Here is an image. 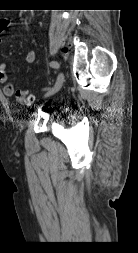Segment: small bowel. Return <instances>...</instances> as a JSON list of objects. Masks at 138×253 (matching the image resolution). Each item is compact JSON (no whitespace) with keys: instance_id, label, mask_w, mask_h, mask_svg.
<instances>
[{"instance_id":"obj_1","label":"small bowel","mask_w":138,"mask_h":253,"mask_svg":"<svg viewBox=\"0 0 138 253\" xmlns=\"http://www.w3.org/2000/svg\"><path fill=\"white\" fill-rule=\"evenodd\" d=\"M11 24V21L8 19H0V41L1 36ZM25 61L27 63H33L35 61V53L33 50H28L25 54ZM0 83L3 84V92L6 96H13L15 92V87L12 83L9 82V76L7 72V65L5 62H0Z\"/></svg>"}]
</instances>
